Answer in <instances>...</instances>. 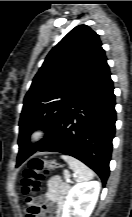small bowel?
<instances>
[{"label": "small bowel", "instance_id": "small-bowel-1", "mask_svg": "<svg viewBox=\"0 0 132 217\" xmlns=\"http://www.w3.org/2000/svg\"><path fill=\"white\" fill-rule=\"evenodd\" d=\"M47 188L48 191L45 195L28 201V209L31 207H39L42 211H54V217H59L65 204L69 185L65 183L60 176L55 175L48 179ZM37 217L44 216L40 213Z\"/></svg>", "mask_w": 132, "mask_h": 217}]
</instances>
